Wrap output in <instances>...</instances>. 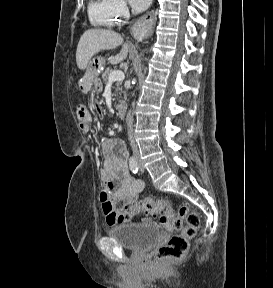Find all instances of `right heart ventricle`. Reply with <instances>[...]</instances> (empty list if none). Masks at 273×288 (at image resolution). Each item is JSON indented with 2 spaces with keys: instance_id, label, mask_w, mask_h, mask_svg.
<instances>
[{
  "instance_id": "right-heart-ventricle-1",
  "label": "right heart ventricle",
  "mask_w": 273,
  "mask_h": 288,
  "mask_svg": "<svg viewBox=\"0 0 273 288\" xmlns=\"http://www.w3.org/2000/svg\"><path fill=\"white\" fill-rule=\"evenodd\" d=\"M88 13L91 23L96 26L112 28L120 23L111 7L110 0H90Z\"/></svg>"
}]
</instances>
